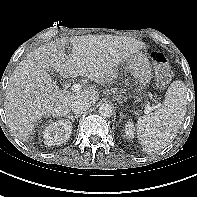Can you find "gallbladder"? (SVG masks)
<instances>
[{"mask_svg":"<svg viewBox=\"0 0 197 197\" xmlns=\"http://www.w3.org/2000/svg\"><path fill=\"white\" fill-rule=\"evenodd\" d=\"M48 71H49L50 73H53V69H52V68H49Z\"/></svg>","mask_w":197,"mask_h":197,"instance_id":"gallbladder-1","label":"gallbladder"}]
</instances>
